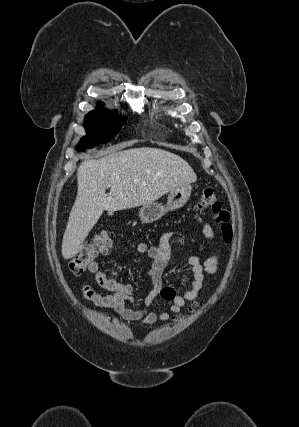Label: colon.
I'll list each match as a JSON object with an SVG mask.
<instances>
[{"label": "colon", "instance_id": "obj_1", "mask_svg": "<svg viewBox=\"0 0 299 427\" xmlns=\"http://www.w3.org/2000/svg\"><path fill=\"white\" fill-rule=\"evenodd\" d=\"M197 207L200 211L209 210L215 215L223 240L226 243H230L233 238L230 213L222 206L219 195L212 189L203 190L199 195ZM111 244L112 241L107 231H101L96 234L78 254L70 259L69 271L73 275H81L90 268L97 257L109 251Z\"/></svg>", "mask_w": 299, "mask_h": 427}]
</instances>
